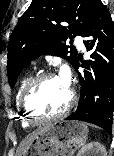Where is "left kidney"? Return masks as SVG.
Returning <instances> with one entry per match:
<instances>
[{
	"instance_id": "5707ae66",
	"label": "left kidney",
	"mask_w": 114,
	"mask_h": 156,
	"mask_svg": "<svg viewBox=\"0 0 114 156\" xmlns=\"http://www.w3.org/2000/svg\"><path fill=\"white\" fill-rule=\"evenodd\" d=\"M77 156H107L106 148L99 142H91L83 146Z\"/></svg>"
}]
</instances>
